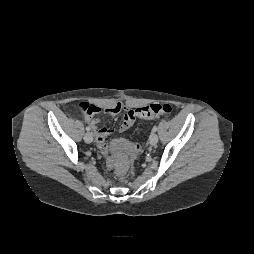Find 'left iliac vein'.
<instances>
[{
  "instance_id": "1",
  "label": "left iliac vein",
  "mask_w": 254,
  "mask_h": 254,
  "mask_svg": "<svg viewBox=\"0 0 254 254\" xmlns=\"http://www.w3.org/2000/svg\"><path fill=\"white\" fill-rule=\"evenodd\" d=\"M149 143L151 146H155L158 143V135L156 133H151L149 136Z\"/></svg>"
}]
</instances>
